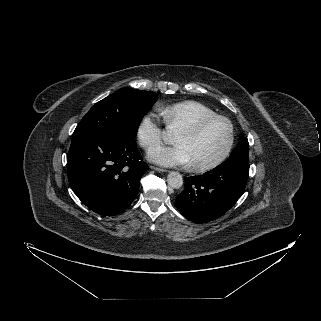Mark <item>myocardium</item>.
<instances>
[{
  "label": "myocardium",
  "instance_id": "1",
  "mask_svg": "<svg viewBox=\"0 0 321 321\" xmlns=\"http://www.w3.org/2000/svg\"><path fill=\"white\" fill-rule=\"evenodd\" d=\"M213 121H222L226 124L227 129H228L227 143H226L223 151L220 153V155L216 159H214L213 161L208 162V163H203V164H191L190 168L192 171L205 172V171H209V170H212V169L218 167L226 160V158L229 156V154L233 148L234 141H235L234 125L229 118H227L223 115L214 114L211 116L202 117V118L198 119L197 121H195L194 123L181 128V131L189 133V134H195V133H198L199 131H201L206 125H208L209 123H211Z\"/></svg>",
  "mask_w": 321,
  "mask_h": 321
}]
</instances>
